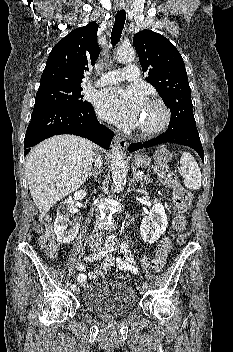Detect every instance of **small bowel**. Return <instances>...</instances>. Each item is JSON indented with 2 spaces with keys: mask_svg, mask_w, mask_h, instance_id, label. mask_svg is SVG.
Returning <instances> with one entry per match:
<instances>
[{
  "mask_svg": "<svg viewBox=\"0 0 233 352\" xmlns=\"http://www.w3.org/2000/svg\"><path fill=\"white\" fill-rule=\"evenodd\" d=\"M116 264L120 270L127 271L133 275L138 274V269L135 266L129 247L126 244H123L120 247V255L116 259ZM78 269L83 272L85 270V266L83 264H79ZM86 280L87 277L84 273H79L76 276V282L79 284L86 285Z\"/></svg>",
  "mask_w": 233,
  "mask_h": 352,
  "instance_id": "small-bowel-1",
  "label": "small bowel"
}]
</instances>
